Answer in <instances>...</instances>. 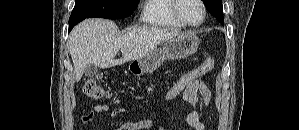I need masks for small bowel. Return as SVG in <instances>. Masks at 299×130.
<instances>
[{
  "instance_id": "c3829d8e",
  "label": "small bowel",
  "mask_w": 299,
  "mask_h": 130,
  "mask_svg": "<svg viewBox=\"0 0 299 130\" xmlns=\"http://www.w3.org/2000/svg\"><path fill=\"white\" fill-rule=\"evenodd\" d=\"M201 95L205 104H209L211 100V92L209 88L201 81L188 87L183 93V101L188 107L186 121L194 130H205V125L201 121L200 115L195 108L197 96ZM97 113H107L110 117L121 115L124 113L122 109H111L107 104L95 106L92 110L81 117L82 123L91 122ZM164 130L162 126L154 121L143 120L138 122H126L114 128L113 130Z\"/></svg>"
}]
</instances>
